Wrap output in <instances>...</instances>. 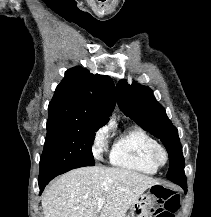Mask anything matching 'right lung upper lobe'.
Segmentation results:
<instances>
[{"label": "right lung upper lobe", "mask_w": 211, "mask_h": 217, "mask_svg": "<svg viewBox=\"0 0 211 217\" xmlns=\"http://www.w3.org/2000/svg\"><path fill=\"white\" fill-rule=\"evenodd\" d=\"M115 106L109 76L91 74L80 66L66 71L48 106V120H75L105 124Z\"/></svg>", "instance_id": "cb5924a9"}]
</instances>
